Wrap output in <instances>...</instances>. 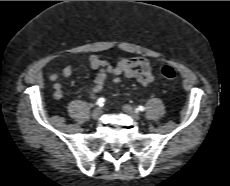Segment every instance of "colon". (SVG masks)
Returning a JSON list of instances; mask_svg holds the SVG:
<instances>
[{
    "label": "colon",
    "mask_w": 230,
    "mask_h": 186,
    "mask_svg": "<svg viewBox=\"0 0 230 186\" xmlns=\"http://www.w3.org/2000/svg\"><path fill=\"white\" fill-rule=\"evenodd\" d=\"M160 72L164 78L169 79V80H172L176 77L175 70L171 66H168V65L162 66L160 69Z\"/></svg>",
    "instance_id": "5ec220e1"
}]
</instances>
